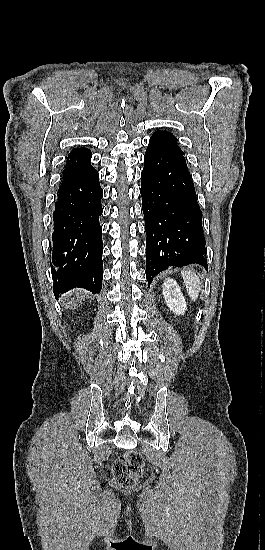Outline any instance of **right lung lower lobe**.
Here are the masks:
<instances>
[{
  "instance_id": "1",
  "label": "right lung lower lobe",
  "mask_w": 265,
  "mask_h": 550,
  "mask_svg": "<svg viewBox=\"0 0 265 550\" xmlns=\"http://www.w3.org/2000/svg\"><path fill=\"white\" fill-rule=\"evenodd\" d=\"M91 151H72L62 173L53 213L52 270L55 295L78 287L99 293L102 288V189L91 165Z\"/></svg>"
}]
</instances>
